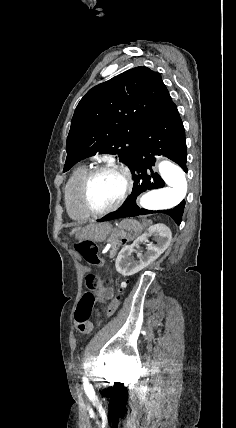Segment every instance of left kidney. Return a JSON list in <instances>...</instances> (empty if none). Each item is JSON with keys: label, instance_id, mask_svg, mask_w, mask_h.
<instances>
[{"label": "left kidney", "instance_id": "5707ae66", "mask_svg": "<svg viewBox=\"0 0 236 428\" xmlns=\"http://www.w3.org/2000/svg\"><path fill=\"white\" fill-rule=\"evenodd\" d=\"M156 238L157 244L150 242L146 252H141L140 244H145L149 242L148 238ZM171 232L165 224H155V226H150L145 234L139 236L137 240H134L131 246H124L120 250L116 260L115 268L116 272L122 274V276H133L137 274L152 262H155L165 250H167L171 242ZM133 254H137L138 260H134Z\"/></svg>", "mask_w": 236, "mask_h": 428}]
</instances>
